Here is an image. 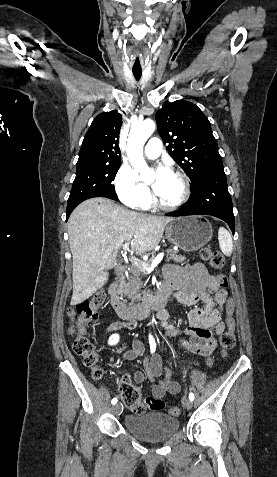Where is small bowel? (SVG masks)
I'll return each instance as SVG.
<instances>
[{
	"label": "small bowel",
	"instance_id": "c3829d8e",
	"mask_svg": "<svg viewBox=\"0 0 277 477\" xmlns=\"http://www.w3.org/2000/svg\"><path fill=\"white\" fill-rule=\"evenodd\" d=\"M166 279L162 291L173 296L178 302L186 306H194L198 301L203 305L194 307L188 314L189 326L178 329L168 324L167 312L158 315V320L168 336H180L179 342L185 349L206 356L208 366L212 365L210 353L216 347V336L222 334L227 325L222 320L223 306L229 299L227 291L220 285L216 277L210 275L206 267L201 263L191 265H166L163 270ZM136 323L114 322L107 328L108 332L122 328L134 329ZM228 327V326H227ZM145 346L142 341L134 339L132 346L122 354L127 361L134 360L144 354ZM143 365L146 375L151 382V394L153 398L162 399L166 394H178L180 384L172 377L169 368H163L161 357L158 353L150 358H144ZM163 378L158 380L160 376ZM145 374L137 371L133 374L136 383H142ZM123 381H130L125 376Z\"/></svg>",
	"mask_w": 277,
	"mask_h": 477
}]
</instances>
